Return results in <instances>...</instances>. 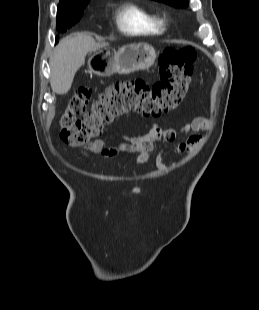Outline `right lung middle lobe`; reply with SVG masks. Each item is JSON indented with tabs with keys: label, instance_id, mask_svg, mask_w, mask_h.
I'll use <instances>...</instances> for the list:
<instances>
[{
	"label": "right lung middle lobe",
	"instance_id": "right-lung-middle-lobe-1",
	"mask_svg": "<svg viewBox=\"0 0 259 310\" xmlns=\"http://www.w3.org/2000/svg\"><path fill=\"white\" fill-rule=\"evenodd\" d=\"M89 0L82 1L77 6L71 8H60L57 10V31L65 32L68 28L73 26L76 22L80 20L83 15V10ZM58 37H56V42Z\"/></svg>",
	"mask_w": 259,
	"mask_h": 310
}]
</instances>
